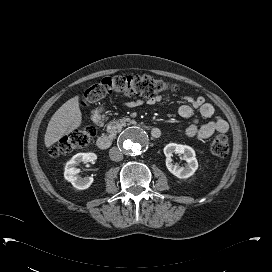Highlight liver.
<instances>
[{"instance_id":"liver-1","label":"liver","mask_w":272,"mask_h":272,"mask_svg":"<svg viewBox=\"0 0 272 272\" xmlns=\"http://www.w3.org/2000/svg\"><path fill=\"white\" fill-rule=\"evenodd\" d=\"M81 123L79 96H75L66 101L51 117L44 137L45 146H52L63 136L78 129Z\"/></svg>"}]
</instances>
